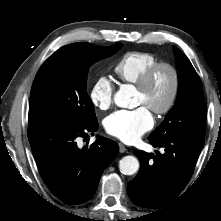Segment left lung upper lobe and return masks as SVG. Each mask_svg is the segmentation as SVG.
Wrapping results in <instances>:
<instances>
[{
    "label": "left lung upper lobe",
    "mask_w": 221,
    "mask_h": 221,
    "mask_svg": "<svg viewBox=\"0 0 221 221\" xmlns=\"http://www.w3.org/2000/svg\"><path fill=\"white\" fill-rule=\"evenodd\" d=\"M177 59L179 90L174 107L149 139L190 137L204 141L206 109L200 78L190 61L173 47Z\"/></svg>",
    "instance_id": "5c2ea615"
}]
</instances>
